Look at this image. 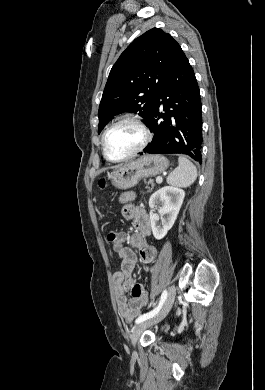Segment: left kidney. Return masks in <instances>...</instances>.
<instances>
[{
	"instance_id": "left-kidney-1",
	"label": "left kidney",
	"mask_w": 265,
	"mask_h": 390,
	"mask_svg": "<svg viewBox=\"0 0 265 390\" xmlns=\"http://www.w3.org/2000/svg\"><path fill=\"white\" fill-rule=\"evenodd\" d=\"M184 197V190L173 186H164L151 195L149 199L150 222L153 236L157 240L163 239L173 227ZM157 208L159 215L155 213ZM160 219L162 224L159 223Z\"/></svg>"
}]
</instances>
